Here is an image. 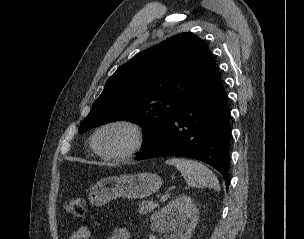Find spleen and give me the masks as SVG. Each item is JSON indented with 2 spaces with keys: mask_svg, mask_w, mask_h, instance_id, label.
Segmentation results:
<instances>
[{
  "mask_svg": "<svg viewBox=\"0 0 304 239\" xmlns=\"http://www.w3.org/2000/svg\"><path fill=\"white\" fill-rule=\"evenodd\" d=\"M166 163L174 165L181 172L189 186L220 189L216 176L207 166L200 162L185 158H171Z\"/></svg>",
  "mask_w": 304,
  "mask_h": 239,
  "instance_id": "3e777b00",
  "label": "spleen"
}]
</instances>
